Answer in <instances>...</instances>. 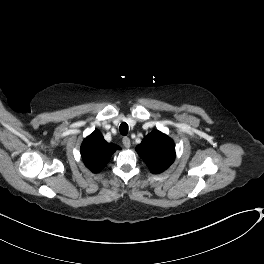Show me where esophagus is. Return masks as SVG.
<instances>
[{
  "mask_svg": "<svg viewBox=\"0 0 264 264\" xmlns=\"http://www.w3.org/2000/svg\"><path fill=\"white\" fill-rule=\"evenodd\" d=\"M122 142H123V145L126 147V148H130L131 146V141L128 137H123L122 139Z\"/></svg>",
  "mask_w": 264,
  "mask_h": 264,
  "instance_id": "esophagus-1",
  "label": "esophagus"
}]
</instances>
